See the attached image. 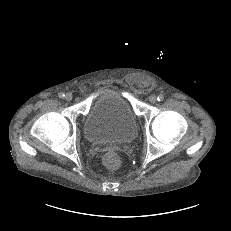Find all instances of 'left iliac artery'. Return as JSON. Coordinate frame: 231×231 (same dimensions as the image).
<instances>
[{
  "mask_svg": "<svg viewBox=\"0 0 231 231\" xmlns=\"http://www.w3.org/2000/svg\"><path fill=\"white\" fill-rule=\"evenodd\" d=\"M157 100H158L159 102L163 101V100H164V96H163V95H159V96L157 97Z\"/></svg>",
  "mask_w": 231,
  "mask_h": 231,
  "instance_id": "1",
  "label": "left iliac artery"
}]
</instances>
